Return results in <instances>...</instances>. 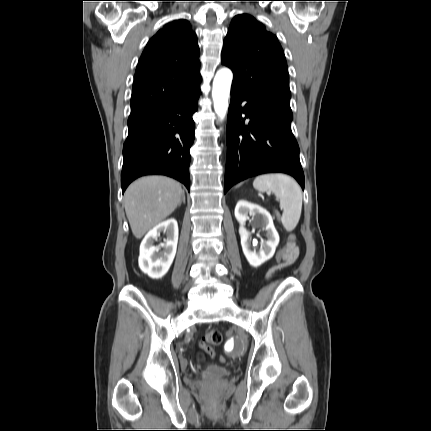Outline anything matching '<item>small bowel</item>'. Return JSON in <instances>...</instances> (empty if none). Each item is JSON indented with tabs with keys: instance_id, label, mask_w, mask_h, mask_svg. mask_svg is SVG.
Masks as SVG:
<instances>
[{
	"instance_id": "1",
	"label": "small bowel",
	"mask_w": 431,
	"mask_h": 431,
	"mask_svg": "<svg viewBox=\"0 0 431 431\" xmlns=\"http://www.w3.org/2000/svg\"><path fill=\"white\" fill-rule=\"evenodd\" d=\"M286 253H283V257L274 263L269 269L270 276H276L281 272V268L290 265L296 261L299 255V249L297 247V242L295 240H290L288 244L283 247Z\"/></svg>"
}]
</instances>
